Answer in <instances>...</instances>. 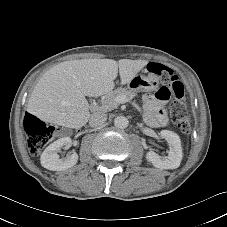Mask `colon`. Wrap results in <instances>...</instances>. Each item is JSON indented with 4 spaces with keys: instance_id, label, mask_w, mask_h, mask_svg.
I'll return each instance as SVG.
<instances>
[{
    "instance_id": "colon-1",
    "label": "colon",
    "mask_w": 227,
    "mask_h": 227,
    "mask_svg": "<svg viewBox=\"0 0 227 227\" xmlns=\"http://www.w3.org/2000/svg\"><path fill=\"white\" fill-rule=\"evenodd\" d=\"M148 70L150 73L160 76L162 82L174 95L175 99L169 109L171 119L183 133H188L191 121L183 101V84L174 75L173 70L163 64L150 63ZM24 128L28 135L27 147L32 155L38 154L52 140L56 131L54 126L41 121L32 114H26L24 117Z\"/></svg>"
}]
</instances>
